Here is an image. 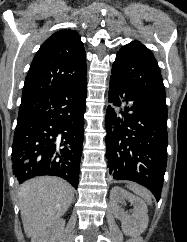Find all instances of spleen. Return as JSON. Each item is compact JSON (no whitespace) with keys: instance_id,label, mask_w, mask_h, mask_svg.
Instances as JSON below:
<instances>
[{"instance_id":"spleen-1","label":"spleen","mask_w":187,"mask_h":242,"mask_svg":"<svg viewBox=\"0 0 187 242\" xmlns=\"http://www.w3.org/2000/svg\"><path fill=\"white\" fill-rule=\"evenodd\" d=\"M127 188L133 191L136 195L142 197L147 203H151V195L145 188H142L136 184H130L127 186Z\"/></svg>"}]
</instances>
